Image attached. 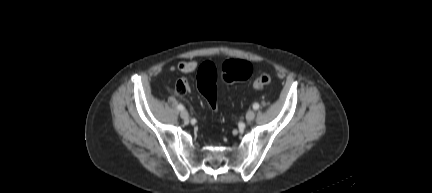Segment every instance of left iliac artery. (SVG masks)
Wrapping results in <instances>:
<instances>
[{
	"instance_id": "obj_1",
	"label": "left iliac artery",
	"mask_w": 432,
	"mask_h": 193,
	"mask_svg": "<svg viewBox=\"0 0 432 193\" xmlns=\"http://www.w3.org/2000/svg\"><path fill=\"white\" fill-rule=\"evenodd\" d=\"M253 109H255V110L259 109V104L258 103H254L253 104Z\"/></svg>"
}]
</instances>
